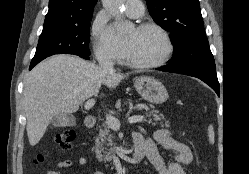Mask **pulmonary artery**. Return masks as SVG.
<instances>
[{
  "mask_svg": "<svg viewBox=\"0 0 249 174\" xmlns=\"http://www.w3.org/2000/svg\"><path fill=\"white\" fill-rule=\"evenodd\" d=\"M124 9L129 17L139 18L143 14V2L141 0H126Z\"/></svg>",
  "mask_w": 249,
  "mask_h": 174,
  "instance_id": "pulmonary-artery-1",
  "label": "pulmonary artery"
}]
</instances>
